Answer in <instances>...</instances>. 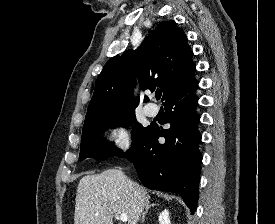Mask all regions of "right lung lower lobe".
Here are the masks:
<instances>
[{"mask_svg": "<svg viewBox=\"0 0 275 224\" xmlns=\"http://www.w3.org/2000/svg\"><path fill=\"white\" fill-rule=\"evenodd\" d=\"M198 81L193 78L164 102L170 127L160 130L150 125L124 154L133 162L141 182L149 189L180 194L193 214L197 208L198 181L202 156L198 148L201 134L196 112ZM159 137L165 142L160 143Z\"/></svg>", "mask_w": 275, "mask_h": 224, "instance_id": "1", "label": "right lung lower lobe"}]
</instances>
